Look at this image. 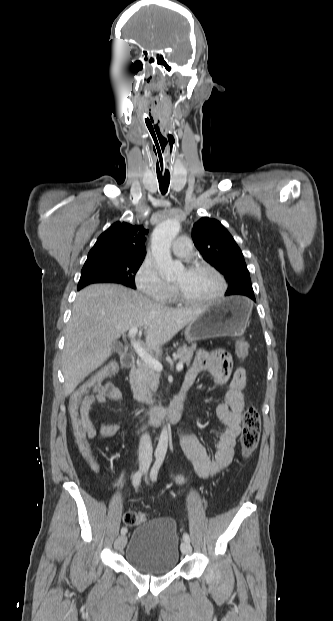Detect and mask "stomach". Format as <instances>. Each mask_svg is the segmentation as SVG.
Returning a JSON list of instances; mask_svg holds the SVG:
<instances>
[{
	"mask_svg": "<svg viewBox=\"0 0 333 621\" xmlns=\"http://www.w3.org/2000/svg\"><path fill=\"white\" fill-rule=\"evenodd\" d=\"M252 304L243 297H230L205 306L199 317L187 326L189 342L218 336H235L246 327Z\"/></svg>",
	"mask_w": 333,
	"mask_h": 621,
	"instance_id": "obj_1",
	"label": "stomach"
}]
</instances>
